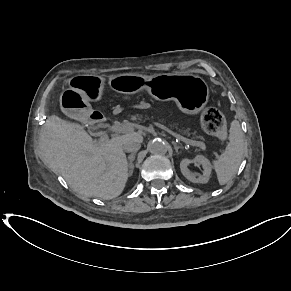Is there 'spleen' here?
Wrapping results in <instances>:
<instances>
[{"label": "spleen", "mask_w": 291, "mask_h": 291, "mask_svg": "<svg viewBox=\"0 0 291 291\" xmlns=\"http://www.w3.org/2000/svg\"><path fill=\"white\" fill-rule=\"evenodd\" d=\"M245 143L240 123L232 121L229 142L224 152L213 162L220 185L226 184L236 174L244 155Z\"/></svg>", "instance_id": "spleen-1"}]
</instances>
